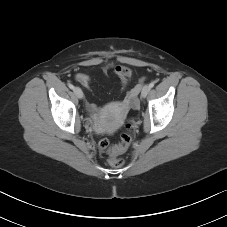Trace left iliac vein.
I'll return each instance as SVG.
<instances>
[{"mask_svg": "<svg viewBox=\"0 0 227 227\" xmlns=\"http://www.w3.org/2000/svg\"><path fill=\"white\" fill-rule=\"evenodd\" d=\"M150 89H151V88L149 87V85H145V86L142 88L141 96H142L143 98H145V97L148 95Z\"/></svg>", "mask_w": 227, "mask_h": 227, "instance_id": "4c4485c4", "label": "left iliac vein"}]
</instances>
